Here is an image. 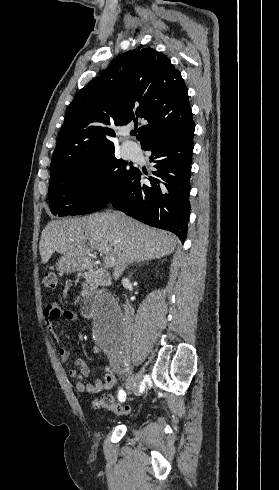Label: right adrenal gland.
<instances>
[{"label": "right adrenal gland", "mask_w": 279, "mask_h": 490, "mask_svg": "<svg viewBox=\"0 0 279 490\" xmlns=\"http://www.w3.org/2000/svg\"><path fill=\"white\" fill-rule=\"evenodd\" d=\"M151 260V258H150ZM150 260H146V262H142V264H148V262H150ZM142 264H139V266H142Z\"/></svg>", "instance_id": "2a0ac1e0"}]
</instances>
